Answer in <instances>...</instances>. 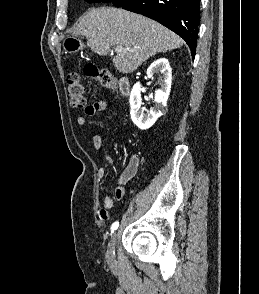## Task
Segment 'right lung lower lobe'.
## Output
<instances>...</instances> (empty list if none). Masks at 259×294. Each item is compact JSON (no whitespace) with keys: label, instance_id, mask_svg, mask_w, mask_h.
Returning <instances> with one entry per match:
<instances>
[{"label":"right lung lower lobe","instance_id":"1","mask_svg":"<svg viewBox=\"0 0 259 294\" xmlns=\"http://www.w3.org/2000/svg\"><path fill=\"white\" fill-rule=\"evenodd\" d=\"M120 7L166 26L185 40L195 57L200 0H128Z\"/></svg>","mask_w":259,"mask_h":294}]
</instances>
